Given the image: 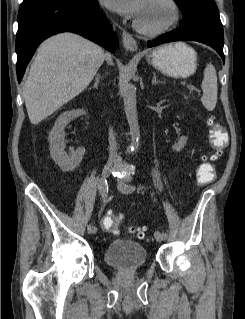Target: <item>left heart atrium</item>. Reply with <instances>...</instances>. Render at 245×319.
Instances as JSON below:
<instances>
[{
    "label": "left heart atrium",
    "mask_w": 245,
    "mask_h": 319,
    "mask_svg": "<svg viewBox=\"0 0 245 319\" xmlns=\"http://www.w3.org/2000/svg\"><path fill=\"white\" fill-rule=\"evenodd\" d=\"M106 7L124 15L127 18L137 20L142 13L147 0H102Z\"/></svg>",
    "instance_id": "1"
}]
</instances>
